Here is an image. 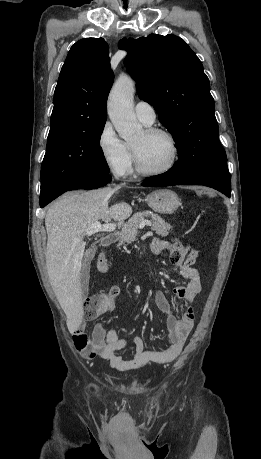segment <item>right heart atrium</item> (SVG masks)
I'll use <instances>...</instances> for the list:
<instances>
[{
    "label": "right heart atrium",
    "instance_id": "d8ad5b80",
    "mask_svg": "<svg viewBox=\"0 0 261 459\" xmlns=\"http://www.w3.org/2000/svg\"><path fill=\"white\" fill-rule=\"evenodd\" d=\"M97 145L106 166L112 173L118 176L130 173L133 162L130 148L119 138L109 121L102 125Z\"/></svg>",
    "mask_w": 261,
    "mask_h": 459
}]
</instances>
